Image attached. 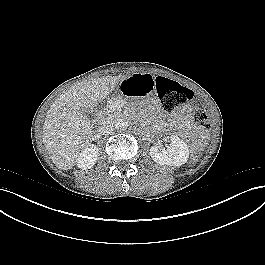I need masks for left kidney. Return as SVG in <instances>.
I'll return each instance as SVG.
<instances>
[{
	"label": "left kidney",
	"instance_id": "left-kidney-1",
	"mask_svg": "<svg viewBox=\"0 0 265 265\" xmlns=\"http://www.w3.org/2000/svg\"><path fill=\"white\" fill-rule=\"evenodd\" d=\"M150 156L160 165L179 167L188 161L189 149L178 136L171 135L170 146L165 150L154 145L150 148Z\"/></svg>",
	"mask_w": 265,
	"mask_h": 265
}]
</instances>
